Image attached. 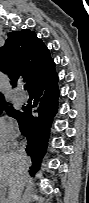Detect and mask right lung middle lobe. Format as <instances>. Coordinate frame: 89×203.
<instances>
[{
    "instance_id": "obj_1",
    "label": "right lung middle lobe",
    "mask_w": 89,
    "mask_h": 203,
    "mask_svg": "<svg viewBox=\"0 0 89 203\" xmlns=\"http://www.w3.org/2000/svg\"><path fill=\"white\" fill-rule=\"evenodd\" d=\"M3 109H6L7 114L10 116H13L18 121L23 114V112L16 111V110L12 109V107L6 106V105H3L0 107V113L2 112Z\"/></svg>"
}]
</instances>
